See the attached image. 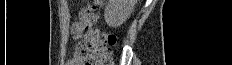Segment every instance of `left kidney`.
Returning <instances> with one entry per match:
<instances>
[{"label":"left kidney","mask_w":232,"mask_h":65,"mask_svg":"<svg viewBox=\"0 0 232 65\" xmlns=\"http://www.w3.org/2000/svg\"><path fill=\"white\" fill-rule=\"evenodd\" d=\"M136 0H109L104 18L109 27L121 26L134 10Z\"/></svg>","instance_id":"obj_1"}]
</instances>
